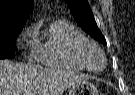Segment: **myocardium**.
Returning a JSON list of instances; mask_svg holds the SVG:
<instances>
[{"label":"myocardium","mask_w":135,"mask_h":95,"mask_svg":"<svg viewBox=\"0 0 135 95\" xmlns=\"http://www.w3.org/2000/svg\"><path fill=\"white\" fill-rule=\"evenodd\" d=\"M88 49L95 50L100 54V56H101V58L103 60V66L100 69H93L88 65V63L86 61V58H85V52ZM71 53H72L73 58L84 69H87V70H89L91 72H101L106 67L107 60H106L104 52L102 51V49L97 44H95L94 42H92L89 39L84 38V39L75 41L71 46Z\"/></svg>","instance_id":"myocardium-1"}]
</instances>
